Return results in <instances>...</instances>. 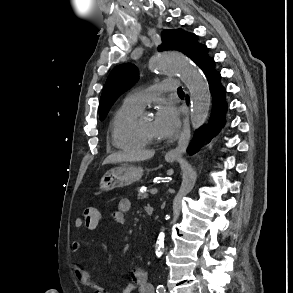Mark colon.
<instances>
[{
	"mask_svg": "<svg viewBox=\"0 0 293 293\" xmlns=\"http://www.w3.org/2000/svg\"><path fill=\"white\" fill-rule=\"evenodd\" d=\"M82 218L85 225L95 227L100 221V211L93 206H87L84 208Z\"/></svg>",
	"mask_w": 293,
	"mask_h": 293,
	"instance_id": "colon-1",
	"label": "colon"
}]
</instances>
